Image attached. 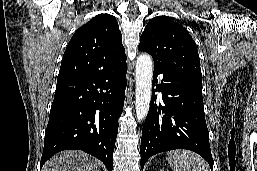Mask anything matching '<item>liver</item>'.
<instances>
[{
    "label": "liver",
    "mask_w": 257,
    "mask_h": 171,
    "mask_svg": "<svg viewBox=\"0 0 257 171\" xmlns=\"http://www.w3.org/2000/svg\"><path fill=\"white\" fill-rule=\"evenodd\" d=\"M43 171H100V163L78 150H66L48 160Z\"/></svg>",
    "instance_id": "1"
}]
</instances>
